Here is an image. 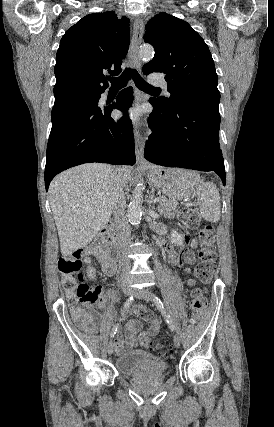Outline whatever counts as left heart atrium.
<instances>
[{
	"mask_svg": "<svg viewBox=\"0 0 274 427\" xmlns=\"http://www.w3.org/2000/svg\"><path fill=\"white\" fill-rule=\"evenodd\" d=\"M141 115L139 108H132L130 110L122 112V116L131 119L132 121H138Z\"/></svg>",
	"mask_w": 274,
	"mask_h": 427,
	"instance_id": "39dd6f15",
	"label": "left heart atrium"
}]
</instances>
